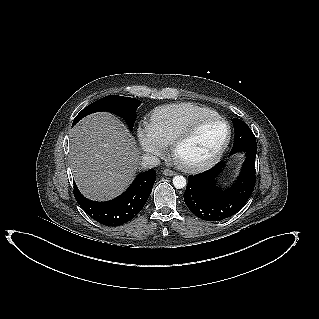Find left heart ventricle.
I'll return each instance as SVG.
<instances>
[{"mask_svg":"<svg viewBox=\"0 0 319 319\" xmlns=\"http://www.w3.org/2000/svg\"><path fill=\"white\" fill-rule=\"evenodd\" d=\"M225 135L226 128L222 122L218 120L205 122L178 148L177 156L188 163L206 160L218 149Z\"/></svg>","mask_w":319,"mask_h":319,"instance_id":"1","label":"left heart ventricle"}]
</instances>
